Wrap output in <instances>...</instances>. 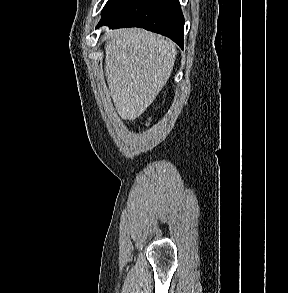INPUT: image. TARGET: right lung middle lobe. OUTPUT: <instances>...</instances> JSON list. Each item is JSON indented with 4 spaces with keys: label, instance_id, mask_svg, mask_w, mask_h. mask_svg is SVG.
<instances>
[{
    "label": "right lung middle lobe",
    "instance_id": "1",
    "mask_svg": "<svg viewBox=\"0 0 288 293\" xmlns=\"http://www.w3.org/2000/svg\"><path fill=\"white\" fill-rule=\"evenodd\" d=\"M129 0H108L102 11V18L99 23H102L111 18L123 5Z\"/></svg>",
    "mask_w": 288,
    "mask_h": 293
}]
</instances>
